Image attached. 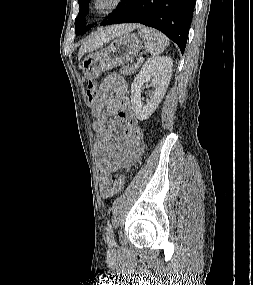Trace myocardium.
<instances>
[{"label": "myocardium", "instance_id": "obj_1", "mask_svg": "<svg viewBox=\"0 0 253 285\" xmlns=\"http://www.w3.org/2000/svg\"><path fill=\"white\" fill-rule=\"evenodd\" d=\"M124 0H90V11L95 15L108 14L122 6Z\"/></svg>", "mask_w": 253, "mask_h": 285}]
</instances>
